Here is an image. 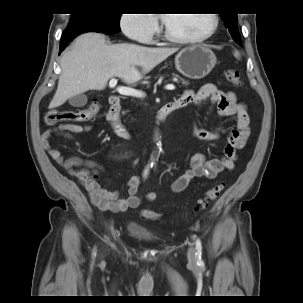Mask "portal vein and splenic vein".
I'll return each instance as SVG.
<instances>
[{
	"label": "portal vein and splenic vein",
	"instance_id": "obj_1",
	"mask_svg": "<svg viewBox=\"0 0 303 303\" xmlns=\"http://www.w3.org/2000/svg\"><path fill=\"white\" fill-rule=\"evenodd\" d=\"M117 85V79L112 78L109 81V87L110 88H115ZM165 89L167 90H174L175 86L173 84H167L165 86ZM117 92L121 95H126V96H132V97H137V98H142L145 96V93L139 90H136L134 88L130 87H117Z\"/></svg>",
	"mask_w": 303,
	"mask_h": 303
}]
</instances>
